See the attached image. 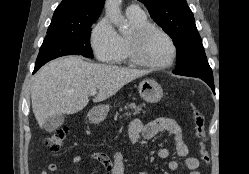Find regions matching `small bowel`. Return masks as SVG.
Returning a JSON list of instances; mask_svg holds the SVG:
<instances>
[{
  "label": "small bowel",
  "mask_w": 249,
  "mask_h": 174,
  "mask_svg": "<svg viewBox=\"0 0 249 174\" xmlns=\"http://www.w3.org/2000/svg\"><path fill=\"white\" fill-rule=\"evenodd\" d=\"M168 132L173 139L175 152L179 157H185V167L190 170V174H200L197 171L199 167V161L195 157L188 156V147L185 143L183 132L179 124L167 117H161L155 119L148 124L144 125L139 119H134L129 125V138L133 144L138 143L141 139L149 140L153 138L159 132ZM158 157L168 158L171 156V151L166 148H161L157 152ZM93 160L102 164L109 174H124V160L121 152H116L113 158L108 157L106 154L95 152L91 155ZM83 161V157L76 155L72 157V164H79ZM180 168V163L176 160L169 162V169L177 171ZM50 173L58 171V166L55 163H51L48 166ZM48 171H42L41 174H49ZM138 174H148L146 171H140Z\"/></svg>",
  "instance_id": "small-bowel-1"
}]
</instances>
